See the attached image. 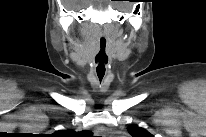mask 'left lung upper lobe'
<instances>
[{
    "mask_svg": "<svg viewBox=\"0 0 206 137\" xmlns=\"http://www.w3.org/2000/svg\"><path fill=\"white\" fill-rule=\"evenodd\" d=\"M127 129L133 137H153L148 131L137 125H131Z\"/></svg>",
    "mask_w": 206,
    "mask_h": 137,
    "instance_id": "1",
    "label": "left lung upper lobe"
}]
</instances>
